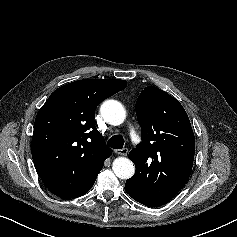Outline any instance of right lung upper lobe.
I'll return each mask as SVG.
<instances>
[{"mask_svg": "<svg viewBox=\"0 0 237 237\" xmlns=\"http://www.w3.org/2000/svg\"><path fill=\"white\" fill-rule=\"evenodd\" d=\"M127 86L119 79H84L56 89L37 113L31 152L50 192L76 198L93 186L111 156L94 124L97 106Z\"/></svg>", "mask_w": 237, "mask_h": 237, "instance_id": "1", "label": "right lung upper lobe"}]
</instances>
